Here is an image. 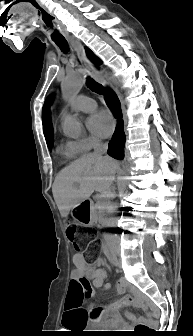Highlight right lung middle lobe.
I'll return each instance as SVG.
<instances>
[{"mask_svg":"<svg viewBox=\"0 0 193 336\" xmlns=\"http://www.w3.org/2000/svg\"><path fill=\"white\" fill-rule=\"evenodd\" d=\"M49 148L52 147V140L46 141Z\"/></svg>","mask_w":193,"mask_h":336,"instance_id":"right-lung-middle-lobe-1","label":"right lung middle lobe"}]
</instances>
